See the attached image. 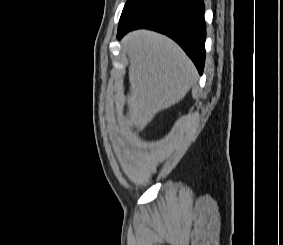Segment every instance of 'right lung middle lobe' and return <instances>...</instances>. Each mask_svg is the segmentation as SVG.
<instances>
[{
    "label": "right lung middle lobe",
    "instance_id": "right-lung-middle-lobe-1",
    "mask_svg": "<svg viewBox=\"0 0 283 245\" xmlns=\"http://www.w3.org/2000/svg\"><path fill=\"white\" fill-rule=\"evenodd\" d=\"M150 1L151 0H127L122 11L119 24L128 20L132 15H134L139 9H141Z\"/></svg>",
    "mask_w": 283,
    "mask_h": 245
}]
</instances>
